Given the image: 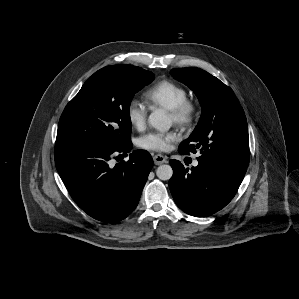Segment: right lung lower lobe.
Listing matches in <instances>:
<instances>
[{"instance_id": "right-lung-lower-lobe-1", "label": "right lung lower lobe", "mask_w": 299, "mask_h": 299, "mask_svg": "<svg viewBox=\"0 0 299 299\" xmlns=\"http://www.w3.org/2000/svg\"><path fill=\"white\" fill-rule=\"evenodd\" d=\"M132 149V143L104 149L55 143V165L76 204L91 217L108 223L126 218L137 206L153 166L146 150H135L127 162L111 159Z\"/></svg>"}]
</instances>
